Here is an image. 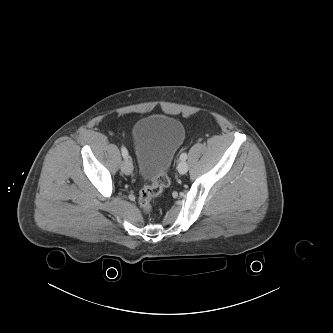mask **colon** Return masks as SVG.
<instances>
[{"instance_id":"obj_1","label":"colon","mask_w":333,"mask_h":333,"mask_svg":"<svg viewBox=\"0 0 333 333\" xmlns=\"http://www.w3.org/2000/svg\"><path fill=\"white\" fill-rule=\"evenodd\" d=\"M169 177L166 173L157 175L151 184L145 186L139 193V205L142 211L146 214L152 210V201L159 196L168 186Z\"/></svg>"}]
</instances>
